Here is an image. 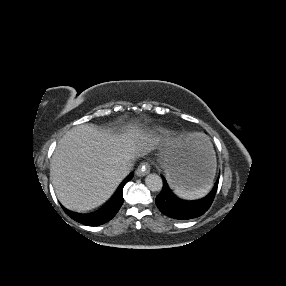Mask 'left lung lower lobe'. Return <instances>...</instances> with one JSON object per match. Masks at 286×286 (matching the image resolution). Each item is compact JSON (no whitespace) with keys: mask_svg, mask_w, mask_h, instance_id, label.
Wrapping results in <instances>:
<instances>
[{"mask_svg":"<svg viewBox=\"0 0 286 286\" xmlns=\"http://www.w3.org/2000/svg\"><path fill=\"white\" fill-rule=\"evenodd\" d=\"M219 180L216 181L211 192L204 198L186 201L175 196L163 180V189L156 197L159 210L174 219L187 220L203 215L211 206L216 195Z\"/></svg>","mask_w":286,"mask_h":286,"instance_id":"obj_1","label":"left lung lower lobe"}]
</instances>
